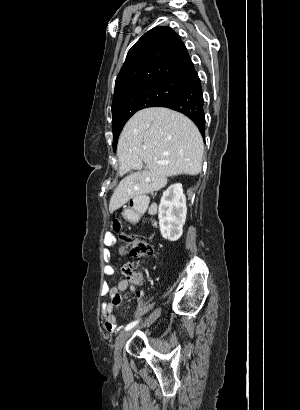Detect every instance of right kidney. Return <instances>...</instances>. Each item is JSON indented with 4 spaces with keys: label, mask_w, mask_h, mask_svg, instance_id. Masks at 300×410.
Returning a JSON list of instances; mask_svg holds the SVG:
<instances>
[{
    "label": "right kidney",
    "mask_w": 300,
    "mask_h": 410,
    "mask_svg": "<svg viewBox=\"0 0 300 410\" xmlns=\"http://www.w3.org/2000/svg\"><path fill=\"white\" fill-rule=\"evenodd\" d=\"M187 214L182 184L176 183L163 192L158 207L160 232L163 238L177 241L183 233Z\"/></svg>",
    "instance_id": "1"
}]
</instances>
